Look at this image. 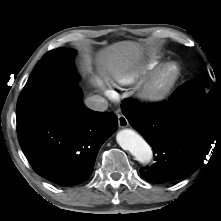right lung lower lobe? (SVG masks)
Returning <instances> with one entry per match:
<instances>
[{
	"instance_id": "1",
	"label": "right lung lower lobe",
	"mask_w": 221,
	"mask_h": 221,
	"mask_svg": "<svg viewBox=\"0 0 221 221\" xmlns=\"http://www.w3.org/2000/svg\"><path fill=\"white\" fill-rule=\"evenodd\" d=\"M117 127V116L87 109L81 89L73 85L17 132L22 151L38 175L61 186H74L90 177L100 147Z\"/></svg>"
}]
</instances>
